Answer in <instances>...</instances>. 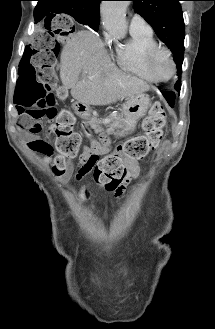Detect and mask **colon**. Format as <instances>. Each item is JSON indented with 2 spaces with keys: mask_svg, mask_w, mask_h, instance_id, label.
Masks as SVG:
<instances>
[{
  "mask_svg": "<svg viewBox=\"0 0 215 329\" xmlns=\"http://www.w3.org/2000/svg\"><path fill=\"white\" fill-rule=\"evenodd\" d=\"M30 32L33 38L26 48L25 55H16L19 81H15L14 93H18L15 102L19 114L29 125H21L23 131L33 133L36 139L32 145L35 149L50 153L52 145L40 137L41 126L37 121L48 118L53 121L52 130L56 135L57 154L52 162V170L57 176L64 175L69 162L74 159L80 148L81 137L72 128L74 116L68 109L58 110L52 89L60 74H55L54 64L62 42L72 38V32H80V25H74L69 14H45L42 25H34ZM166 123V112L161 103L151 106L148 116L143 121L144 133L119 145L116 151L105 157L96 154L83 157L77 177L91 173L96 184L109 190L117 189L126 177L123 161L139 160L149 151L157 148L162 139V129ZM30 126H32L30 128Z\"/></svg>",
  "mask_w": 215,
  "mask_h": 329,
  "instance_id": "colon-1",
  "label": "colon"
}]
</instances>
